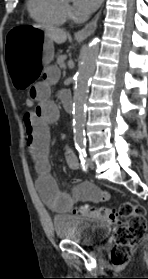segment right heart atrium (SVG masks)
Here are the masks:
<instances>
[{
  "label": "right heart atrium",
  "instance_id": "d8ad5b80",
  "mask_svg": "<svg viewBox=\"0 0 148 279\" xmlns=\"http://www.w3.org/2000/svg\"><path fill=\"white\" fill-rule=\"evenodd\" d=\"M66 12H67L68 14H71V13H72V10H71L69 7H66Z\"/></svg>",
  "mask_w": 148,
  "mask_h": 279
}]
</instances>
